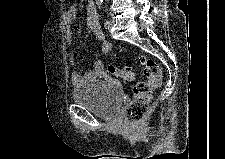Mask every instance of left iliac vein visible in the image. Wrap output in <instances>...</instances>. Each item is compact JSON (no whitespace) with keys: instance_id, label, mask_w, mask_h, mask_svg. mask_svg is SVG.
Here are the masks:
<instances>
[{"instance_id":"obj_1","label":"left iliac vein","mask_w":225,"mask_h":159,"mask_svg":"<svg viewBox=\"0 0 225 159\" xmlns=\"http://www.w3.org/2000/svg\"><path fill=\"white\" fill-rule=\"evenodd\" d=\"M114 23H115V20H113V19L109 20L108 25L105 26L106 29H108V30L111 29L113 27Z\"/></svg>"}]
</instances>
